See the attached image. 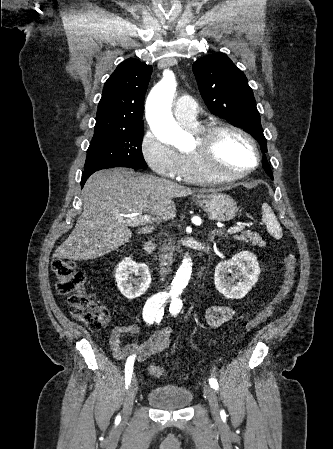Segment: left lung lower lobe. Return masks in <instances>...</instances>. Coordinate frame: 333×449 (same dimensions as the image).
<instances>
[{
  "mask_svg": "<svg viewBox=\"0 0 333 449\" xmlns=\"http://www.w3.org/2000/svg\"><path fill=\"white\" fill-rule=\"evenodd\" d=\"M262 165H263V168H264V170L266 171L267 174H272V171L270 169V166H269V164L267 162L266 157H263Z\"/></svg>",
  "mask_w": 333,
  "mask_h": 449,
  "instance_id": "0a47b994",
  "label": "left lung lower lobe"
}]
</instances>
